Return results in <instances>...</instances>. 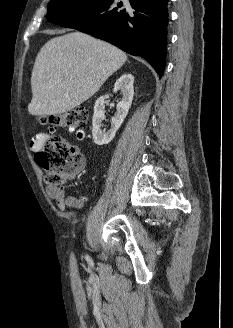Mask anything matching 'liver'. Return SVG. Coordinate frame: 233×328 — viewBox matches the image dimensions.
I'll use <instances>...</instances> for the list:
<instances>
[{"mask_svg":"<svg viewBox=\"0 0 233 328\" xmlns=\"http://www.w3.org/2000/svg\"><path fill=\"white\" fill-rule=\"evenodd\" d=\"M127 60L120 49L82 32L49 40L37 54L31 115L68 112L94 95Z\"/></svg>","mask_w":233,"mask_h":328,"instance_id":"liver-1","label":"liver"}]
</instances>
